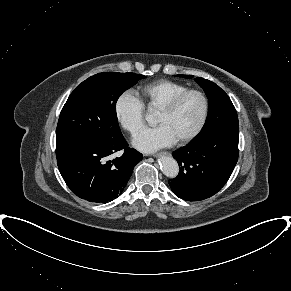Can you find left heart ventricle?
I'll list each match as a JSON object with an SVG mask.
<instances>
[{"mask_svg":"<svg viewBox=\"0 0 291 291\" xmlns=\"http://www.w3.org/2000/svg\"><path fill=\"white\" fill-rule=\"evenodd\" d=\"M202 109L200 97L188 95L171 113L158 111L155 122L165 126L177 141L195 129L201 118Z\"/></svg>","mask_w":291,"mask_h":291,"instance_id":"b2bd125f","label":"left heart ventricle"}]
</instances>
